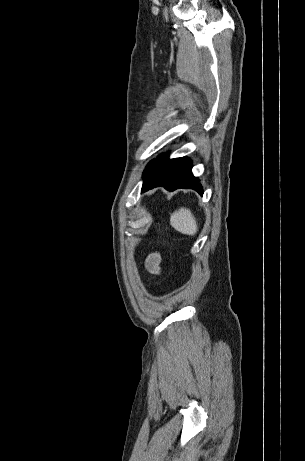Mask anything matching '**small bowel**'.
Wrapping results in <instances>:
<instances>
[{
	"instance_id": "obj_1",
	"label": "small bowel",
	"mask_w": 305,
	"mask_h": 461,
	"mask_svg": "<svg viewBox=\"0 0 305 461\" xmlns=\"http://www.w3.org/2000/svg\"><path fill=\"white\" fill-rule=\"evenodd\" d=\"M161 261H162V258L159 252L151 253L145 261V267L147 271L152 275L160 274L162 270Z\"/></svg>"
}]
</instances>
